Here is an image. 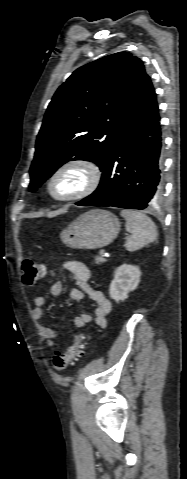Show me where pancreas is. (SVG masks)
I'll use <instances>...</instances> for the list:
<instances>
[{
	"label": "pancreas",
	"instance_id": "obj_1",
	"mask_svg": "<svg viewBox=\"0 0 187 479\" xmlns=\"http://www.w3.org/2000/svg\"><path fill=\"white\" fill-rule=\"evenodd\" d=\"M107 260L103 257H99V256H96L95 259H94V263L95 264H102V263H105Z\"/></svg>",
	"mask_w": 187,
	"mask_h": 479
}]
</instances>
